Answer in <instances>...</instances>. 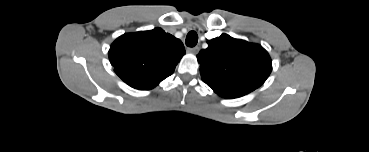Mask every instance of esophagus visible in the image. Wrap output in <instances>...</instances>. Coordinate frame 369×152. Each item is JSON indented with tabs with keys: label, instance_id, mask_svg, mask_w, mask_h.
Here are the masks:
<instances>
[{
	"label": "esophagus",
	"instance_id": "1",
	"mask_svg": "<svg viewBox=\"0 0 369 152\" xmlns=\"http://www.w3.org/2000/svg\"><path fill=\"white\" fill-rule=\"evenodd\" d=\"M200 48L198 46L192 47V48H188L187 52L192 53V54H197L199 52Z\"/></svg>",
	"mask_w": 369,
	"mask_h": 152
}]
</instances>
